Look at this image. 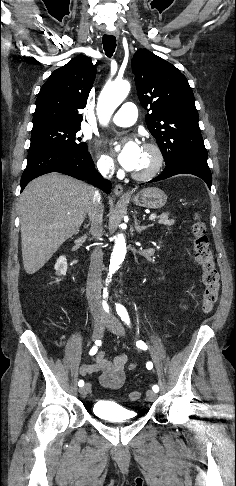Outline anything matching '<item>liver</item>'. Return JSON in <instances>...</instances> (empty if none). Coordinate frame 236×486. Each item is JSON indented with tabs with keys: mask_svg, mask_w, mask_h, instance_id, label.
Returning <instances> with one entry per match:
<instances>
[{
	"mask_svg": "<svg viewBox=\"0 0 236 486\" xmlns=\"http://www.w3.org/2000/svg\"><path fill=\"white\" fill-rule=\"evenodd\" d=\"M94 189L53 172L30 182L20 196L23 265L34 274L79 231Z\"/></svg>",
	"mask_w": 236,
	"mask_h": 486,
	"instance_id": "obj_1",
	"label": "liver"
}]
</instances>
